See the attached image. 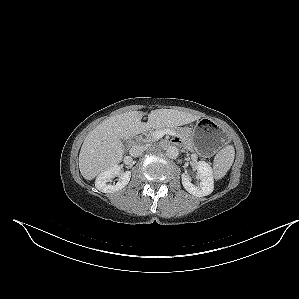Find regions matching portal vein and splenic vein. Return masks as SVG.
<instances>
[{
    "label": "portal vein and splenic vein",
    "instance_id": "portal-vein-and-splenic-vein-1",
    "mask_svg": "<svg viewBox=\"0 0 299 299\" xmlns=\"http://www.w3.org/2000/svg\"><path fill=\"white\" fill-rule=\"evenodd\" d=\"M165 134H168V135H175L174 131L170 130V129H163V130H158V131H155L153 133V137L155 140H158L160 138H162Z\"/></svg>",
    "mask_w": 299,
    "mask_h": 299
}]
</instances>
